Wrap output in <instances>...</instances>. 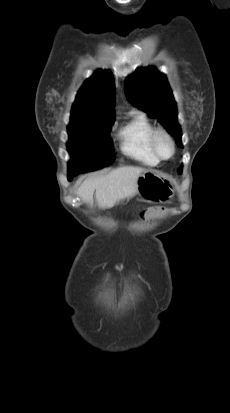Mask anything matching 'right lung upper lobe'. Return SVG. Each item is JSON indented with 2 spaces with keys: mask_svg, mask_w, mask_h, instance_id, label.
I'll return each mask as SVG.
<instances>
[{
  "mask_svg": "<svg viewBox=\"0 0 230 413\" xmlns=\"http://www.w3.org/2000/svg\"><path fill=\"white\" fill-rule=\"evenodd\" d=\"M114 77L98 70L88 78L77 94L69 126H79L104 119H114Z\"/></svg>",
  "mask_w": 230,
  "mask_h": 413,
  "instance_id": "right-lung-upper-lobe-1",
  "label": "right lung upper lobe"
}]
</instances>
